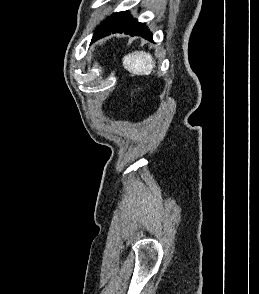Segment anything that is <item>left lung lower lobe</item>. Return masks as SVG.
Here are the masks:
<instances>
[{
	"label": "left lung lower lobe",
	"instance_id": "left-lung-lower-lobe-1",
	"mask_svg": "<svg viewBox=\"0 0 259 294\" xmlns=\"http://www.w3.org/2000/svg\"><path fill=\"white\" fill-rule=\"evenodd\" d=\"M111 33H125L131 36H142L145 39L152 41V34L144 23L138 22L136 19L131 17L128 11H122L114 13L109 16L95 31L92 39L96 40L102 36H107Z\"/></svg>",
	"mask_w": 259,
	"mask_h": 294
}]
</instances>
